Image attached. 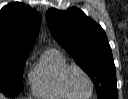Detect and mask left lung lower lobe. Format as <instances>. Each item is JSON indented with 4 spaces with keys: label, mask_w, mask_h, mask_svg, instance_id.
<instances>
[{
    "label": "left lung lower lobe",
    "mask_w": 128,
    "mask_h": 99,
    "mask_svg": "<svg viewBox=\"0 0 128 99\" xmlns=\"http://www.w3.org/2000/svg\"><path fill=\"white\" fill-rule=\"evenodd\" d=\"M107 99H118V95H115V96H113V97H109V98H107Z\"/></svg>",
    "instance_id": "left-lung-lower-lobe-1"
}]
</instances>
